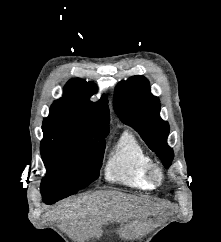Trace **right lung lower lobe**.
I'll use <instances>...</instances> for the list:
<instances>
[{
  "label": "right lung lower lobe",
  "mask_w": 221,
  "mask_h": 242,
  "mask_svg": "<svg viewBox=\"0 0 221 242\" xmlns=\"http://www.w3.org/2000/svg\"><path fill=\"white\" fill-rule=\"evenodd\" d=\"M77 191H58L53 189H41L43 201L47 204H53L65 197H68Z\"/></svg>",
  "instance_id": "right-lung-lower-lobe-1"
}]
</instances>
